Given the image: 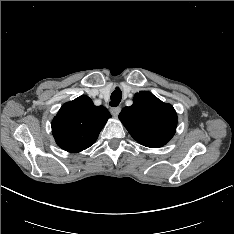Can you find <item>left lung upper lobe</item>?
Here are the masks:
<instances>
[{"mask_svg":"<svg viewBox=\"0 0 234 234\" xmlns=\"http://www.w3.org/2000/svg\"><path fill=\"white\" fill-rule=\"evenodd\" d=\"M119 119L138 143L151 148L165 145L175 134L177 126L173 106L148 91L136 93L133 105L123 108Z\"/></svg>","mask_w":234,"mask_h":234,"instance_id":"left-lung-upper-lobe-1","label":"left lung upper lobe"}]
</instances>
